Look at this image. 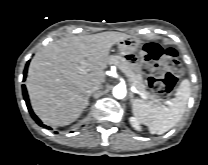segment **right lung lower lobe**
Masks as SVG:
<instances>
[{"label": "right lung lower lobe", "mask_w": 208, "mask_h": 165, "mask_svg": "<svg viewBox=\"0 0 208 165\" xmlns=\"http://www.w3.org/2000/svg\"><path fill=\"white\" fill-rule=\"evenodd\" d=\"M28 64H29V61L27 62L26 66H25V69H24V72H23V75H24V78L23 80H25L26 76H27V69H28ZM22 89H23V97H24V100L26 102V105H27V108L32 116V118L40 125V126H43L47 129H51L50 127L44 125L40 119L34 114L33 110L31 109V106H30V103H29V99H28V94H27V91H26V88H25V85H22Z\"/></svg>", "instance_id": "1"}]
</instances>
